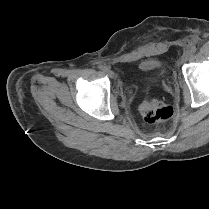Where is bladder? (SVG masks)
<instances>
[{"label": "bladder", "instance_id": "obj_1", "mask_svg": "<svg viewBox=\"0 0 209 209\" xmlns=\"http://www.w3.org/2000/svg\"><path fill=\"white\" fill-rule=\"evenodd\" d=\"M160 67L161 63L153 58L143 59L138 64V68L144 72H156Z\"/></svg>", "mask_w": 209, "mask_h": 209}]
</instances>
